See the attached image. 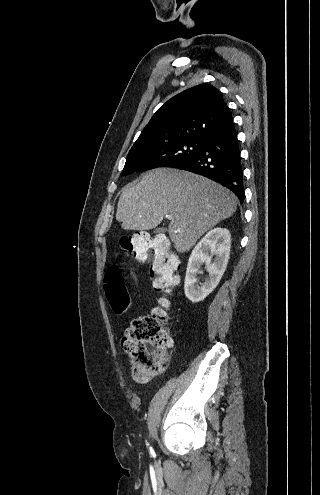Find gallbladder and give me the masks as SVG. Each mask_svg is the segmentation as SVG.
I'll return each mask as SVG.
<instances>
[{
    "label": "gallbladder",
    "instance_id": "bac80fb5",
    "mask_svg": "<svg viewBox=\"0 0 320 495\" xmlns=\"http://www.w3.org/2000/svg\"><path fill=\"white\" fill-rule=\"evenodd\" d=\"M155 232H156V233L163 232V229H157Z\"/></svg>",
    "mask_w": 320,
    "mask_h": 495
}]
</instances>
